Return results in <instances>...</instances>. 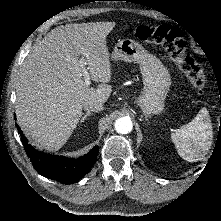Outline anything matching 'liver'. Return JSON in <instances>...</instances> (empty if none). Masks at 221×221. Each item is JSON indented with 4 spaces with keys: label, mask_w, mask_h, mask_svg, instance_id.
<instances>
[{
    "label": "liver",
    "mask_w": 221,
    "mask_h": 221,
    "mask_svg": "<svg viewBox=\"0 0 221 221\" xmlns=\"http://www.w3.org/2000/svg\"><path fill=\"white\" fill-rule=\"evenodd\" d=\"M115 22L66 24L35 45L19 70L16 117L24 133L40 147L56 151L76 128L84 104L105 103L112 87L107 36ZM78 56H81L78 59ZM101 84L85 85L80 60Z\"/></svg>",
    "instance_id": "1"
}]
</instances>
